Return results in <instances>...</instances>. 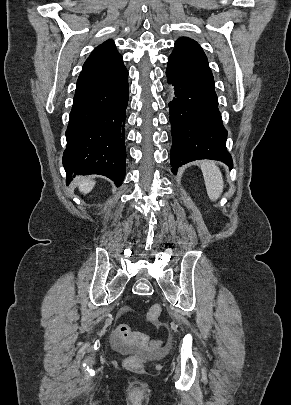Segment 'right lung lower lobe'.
<instances>
[{
    "mask_svg": "<svg viewBox=\"0 0 291 405\" xmlns=\"http://www.w3.org/2000/svg\"><path fill=\"white\" fill-rule=\"evenodd\" d=\"M127 69L110 79L76 91L66 131L63 166L67 184L76 175L100 174L120 186L125 177Z\"/></svg>",
    "mask_w": 291,
    "mask_h": 405,
    "instance_id": "1",
    "label": "right lung lower lobe"
}]
</instances>
